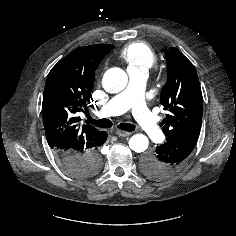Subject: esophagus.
Masks as SVG:
<instances>
[{
    "label": "esophagus",
    "instance_id": "esophagus-1",
    "mask_svg": "<svg viewBox=\"0 0 236 236\" xmlns=\"http://www.w3.org/2000/svg\"><path fill=\"white\" fill-rule=\"evenodd\" d=\"M115 133L120 137H127V136L131 135L130 132H126V131H122V130H117Z\"/></svg>",
    "mask_w": 236,
    "mask_h": 236
}]
</instances>
